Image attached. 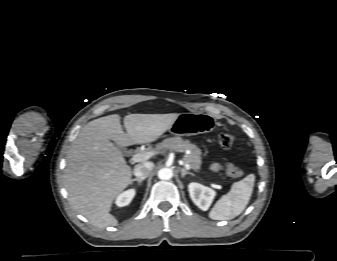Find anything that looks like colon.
Here are the masks:
<instances>
[{
  "label": "colon",
  "instance_id": "obj_1",
  "mask_svg": "<svg viewBox=\"0 0 337 261\" xmlns=\"http://www.w3.org/2000/svg\"><path fill=\"white\" fill-rule=\"evenodd\" d=\"M234 143V137L229 133H222L218 137V144L223 149L230 148ZM226 173L232 178H241L244 173L242 170L234 166L233 164H226L225 166Z\"/></svg>",
  "mask_w": 337,
  "mask_h": 261
}]
</instances>
